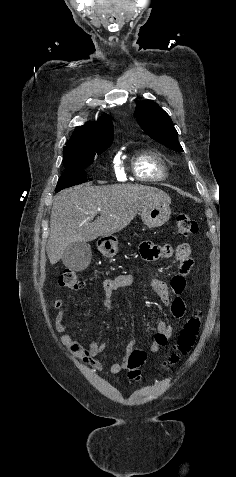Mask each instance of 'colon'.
Returning a JSON list of instances; mask_svg holds the SVG:
<instances>
[{
  "label": "colon",
  "mask_w": 236,
  "mask_h": 477,
  "mask_svg": "<svg viewBox=\"0 0 236 477\" xmlns=\"http://www.w3.org/2000/svg\"><path fill=\"white\" fill-rule=\"evenodd\" d=\"M176 232L181 237L195 235L198 232V224L191 217L181 214L176 219ZM60 285L69 289H78L84 285V281L72 270H64L60 275ZM201 326L198 316L191 317L185 324L178 337V352L171 355L168 364H176L182 355H186L194 346ZM146 360V353L143 350L133 351L128 359L130 369L129 376L133 379L140 377V367Z\"/></svg>",
  "instance_id": "1"
}]
</instances>
